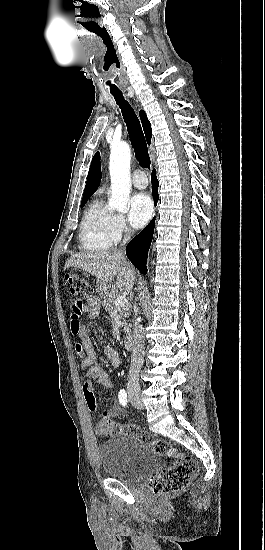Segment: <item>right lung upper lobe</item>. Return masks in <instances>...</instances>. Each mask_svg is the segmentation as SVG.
Instances as JSON below:
<instances>
[{"mask_svg": "<svg viewBox=\"0 0 265 550\" xmlns=\"http://www.w3.org/2000/svg\"><path fill=\"white\" fill-rule=\"evenodd\" d=\"M139 115H140V119L144 129V133L146 136V140L148 144H150L151 137H152L150 122L147 119V116L143 110L140 111ZM100 181H101L100 155L97 152L94 155L91 162L83 199H87V198L89 199L92 196V194L96 191L97 187L99 186Z\"/></svg>", "mask_w": 265, "mask_h": 550, "instance_id": "cb5924a9", "label": "right lung upper lobe"}]
</instances>
